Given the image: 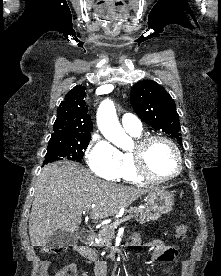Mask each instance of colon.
Instances as JSON below:
<instances>
[{
    "instance_id": "5ec220e1",
    "label": "colon",
    "mask_w": 221,
    "mask_h": 276,
    "mask_svg": "<svg viewBox=\"0 0 221 276\" xmlns=\"http://www.w3.org/2000/svg\"><path fill=\"white\" fill-rule=\"evenodd\" d=\"M190 231V225L187 222L175 221L173 224L174 237L178 241L186 239ZM44 252L48 254H58L62 251L61 246L47 245L43 248ZM54 276H76V271L73 266H66L55 271Z\"/></svg>"
}]
</instances>
